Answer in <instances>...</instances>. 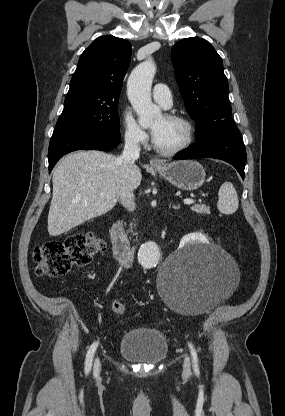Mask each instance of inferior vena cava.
<instances>
[{"label":"inferior vena cava","mask_w":285,"mask_h":416,"mask_svg":"<svg viewBox=\"0 0 285 416\" xmlns=\"http://www.w3.org/2000/svg\"><path fill=\"white\" fill-rule=\"evenodd\" d=\"M139 140L137 134L132 132H126L125 134V146L124 150L117 158V162L122 170L123 178H126L129 174L132 166H134L135 160H138L140 154V146H138ZM134 194L133 190H130L129 186H126L124 180L120 188V202L124 208H127L129 212H134L135 204L133 202Z\"/></svg>","instance_id":"inferior-vena-cava-1"}]
</instances>
